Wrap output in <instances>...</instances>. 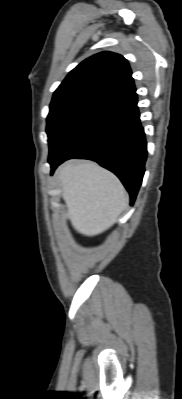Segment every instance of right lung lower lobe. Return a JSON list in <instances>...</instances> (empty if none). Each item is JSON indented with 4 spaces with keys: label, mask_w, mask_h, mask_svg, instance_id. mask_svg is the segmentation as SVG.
Wrapping results in <instances>:
<instances>
[{
    "label": "right lung lower lobe",
    "mask_w": 182,
    "mask_h": 399,
    "mask_svg": "<svg viewBox=\"0 0 182 399\" xmlns=\"http://www.w3.org/2000/svg\"><path fill=\"white\" fill-rule=\"evenodd\" d=\"M71 158L93 160L115 173L134 203L147 158L136 91L106 102L75 123L50 148L51 174Z\"/></svg>",
    "instance_id": "1"
}]
</instances>
